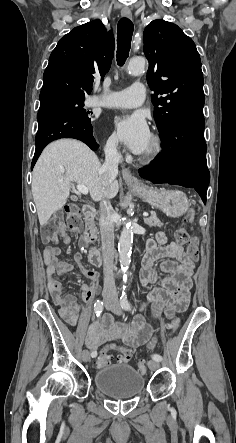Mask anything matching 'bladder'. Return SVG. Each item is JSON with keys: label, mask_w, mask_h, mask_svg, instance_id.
Returning a JSON list of instances; mask_svg holds the SVG:
<instances>
[{"label": "bladder", "mask_w": 236, "mask_h": 443, "mask_svg": "<svg viewBox=\"0 0 236 443\" xmlns=\"http://www.w3.org/2000/svg\"><path fill=\"white\" fill-rule=\"evenodd\" d=\"M145 377L129 365H109L94 374L95 386L105 395L114 399L136 396L144 388Z\"/></svg>", "instance_id": "obj_1"}]
</instances>
